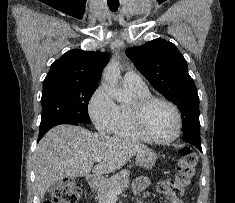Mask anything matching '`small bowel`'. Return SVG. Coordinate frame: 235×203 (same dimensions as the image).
<instances>
[{
    "label": "small bowel",
    "instance_id": "obj_1",
    "mask_svg": "<svg viewBox=\"0 0 235 203\" xmlns=\"http://www.w3.org/2000/svg\"><path fill=\"white\" fill-rule=\"evenodd\" d=\"M149 185H150L149 178L144 177V176H140V177L136 178V180L134 181L133 191L135 194L138 195L141 192H143L146 188H148ZM170 203H184V202L180 199H172L170 201Z\"/></svg>",
    "mask_w": 235,
    "mask_h": 203
}]
</instances>
